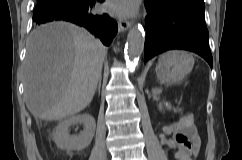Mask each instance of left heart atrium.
<instances>
[{"mask_svg": "<svg viewBox=\"0 0 242 160\" xmlns=\"http://www.w3.org/2000/svg\"><path fill=\"white\" fill-rule=\"evenodd\" d=\"M137 6V0H109L107 9L118 16H130L136 12Z\"/></svg>", "mask_w": 242, "mask_h": 160, "instance_id": "1", "label": "left heart atrium"}]
</instances>
